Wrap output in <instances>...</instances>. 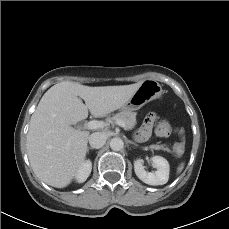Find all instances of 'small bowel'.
<instances>
[{"label":"small bowel","mask_w":229,"mask_h":229,"mask_svg":"<svg viewBox=\"0 0 229 229\" xmlns=\"http://www.w3.org/2000/svg\"><path fill=\"white\" fill-rule=\"evenodd\" d=\"M155 120V116L151 115V116H148V118L146 119V123L139 129L138 133H137V136L139 139H145L148 137L149 133H150V128H151V125L153 123V121ZM180 142L179 143H176L174 145V151L175 149L180 146ZM184 149V143H182V150Z\"/></svg>","instance_id":"1"}]
</instances>
